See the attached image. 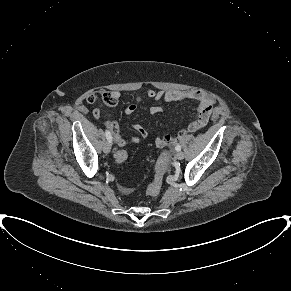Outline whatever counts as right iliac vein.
<instances>
[{
    "label": "right iliac vein",
    "mask_w": 291,
    "mask_h": 291,
    "mask_svg": "<svg viewBox=\"0 0 291 291\" xmlns=\"http://www.w3.org/2000/svg\"><path fill=\"white\" fill-rule=\"evenodd\" d=\"M111 150V143L108 141V142H105L104 145H103V151L104 153H109Z\"/></svg>",
    "instance_id": "right-iliac-vein-1"
}]
</instances>
